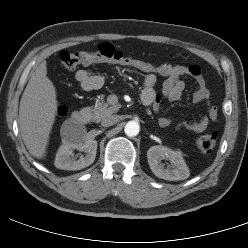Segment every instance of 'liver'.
I'll return each instance as SVG.
<instances>
[{"label": "liver", "instance_id": "obj_1", "mask_svg": "<svg viewBox=\"0 0 248 248\" xmlns=\"http://www.w3.org/2000/svg\"><path fill=\"white\" fill-rule=\"evenodd\" d=\"M57 108L56 89L47 77V63L43 61L31 75L19 106L22 139L37 159L46 154Z\"/></svg>", "mask_w": 248, "mask_h": 248}]
</instances>
